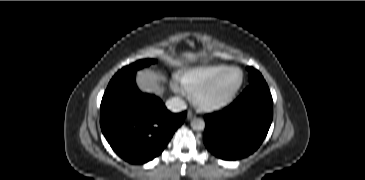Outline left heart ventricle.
<instances>
[{
  "label": "left heart ventricle",
  "instance_id": "b2bd125f",
  "mask_svg": "<svg viewBox=\"0 0 365 180\" xmlns=\"http://www.w3.org/2000/svg\"><path fill=\"white\" fill-rule=\"evenodd\" d=\"M241 79L240 72L230 70L220 76L215 83L203 93L204 102H218L226 99L238 86Z\"/></svg>",
  "mask_w": 365,
  "mask_h": 180
}]
</instances>
